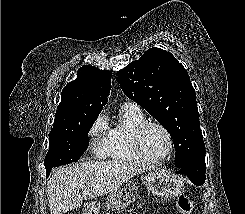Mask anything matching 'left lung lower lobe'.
Returning a JSON list of instances; mask_svg holds the SVG:
<instances>
[{"instance_id": "left-lung-lower-lobe-1", "label": "left lung lower lobe", "mask_w": 245, "mask_h": 214, "mask_svg": "<svg viewBox=\"0 0 245 214\" xmlns=\"http://www.w3.org/2000/svg\"><path fill=\"white\" fill-rule=\"evenodd\" d=\"M176 173L187 175L191 182L202 185L205 182V159L195 161L180 168Z\"/></svg>"}]
</instances>
